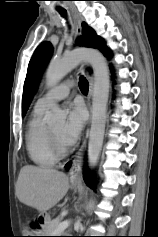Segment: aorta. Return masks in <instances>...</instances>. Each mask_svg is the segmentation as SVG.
Returning <instances> with one entry per match:
<instances>
[{
	"mask_svg": "<svg viewBox=\"0 0 158 237\" xmlns=\"http://www.w3.org/2000/svg\"><path fill=\"white\" fill-rule=\"evenodd\" d=\"M91 64L94 72L92 122L88 143V166L93 170L97 164L105 133L107 119V102L109 97V69L104 56L93 49L75 50L65 54L61 59H53L48 67L47 85H56L67 73L80 62ZM66 114L54 105L48 118L51 125L64 124Z\"/></svg>",
	"mask_w": 158,
	"mask_h": 237,
	"instance_id": "762f6f07",
	"label": "aorta"
}]
</instances>
